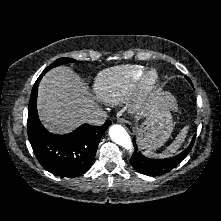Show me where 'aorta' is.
<instances>
[{
    "mask_svg": "<svg viewBox=\"0 0 221 221\" xmlns=\"http://www.w3.org/2000/svg\"><path fill=\"white\" fill-rule=\"evenodd\" d=\"M109 136L116 144L122 146L126 150L133 151L131 138L121 125H112L109 128Z\"/></svg>",
    "mask_w": 221,
    "mask_h": 221,
    "instance_id": "aorta-1",
    "label": "aorta"
}]
</instances>
